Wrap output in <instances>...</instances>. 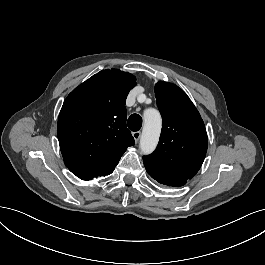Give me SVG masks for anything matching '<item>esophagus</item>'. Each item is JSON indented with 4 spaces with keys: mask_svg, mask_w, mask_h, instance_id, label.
I'll use <instances>...</instances> for the list:
<instances>
[{
    "mask_svg": "<svg viewBox=\"0 0 265 265\" xmlns=\"http://www.w3.org/2000/svg\"><path fill=\"white\" fill-rule=\"evenodd\" d=\"M134 139H135V142H138L140 137H141V132L140 131H136V132H133L132 133Z\"/></svg>",
    "mask_w": 265,
    "mask_h": 265,
    "instance_id": "34e87169",
    "label": "esophagus"
}]
</instances>
